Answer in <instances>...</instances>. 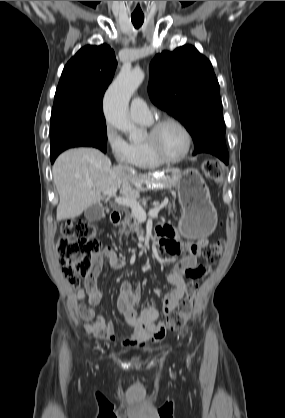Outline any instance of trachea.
<instances>
[{
    "instance_id": "1",
    "label": "trachea",
    "mask_w": 285,
    "mask_h": 418,
    "mask_svg": "<svg viewBox=\"0 0 285 418\" xmlns=\"http://www.w3.org/2000/svg\"><path fill=\"white\" fill-rule=\"evenodd\" d=\"M131 20L135 28H139L144 22V17H131Z\"/></svg>"
}]
</instances>
